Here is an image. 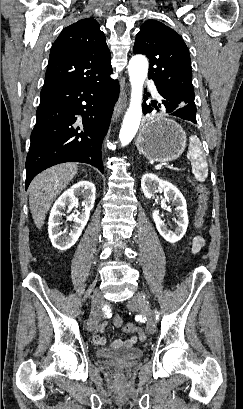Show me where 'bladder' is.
<instances>
[{
	"mask_svg": "<svg viewBox=\"0 0 243 409\" xmlns=\"http://www.w3.org/2000/svg\"><path fill=\"white\" fill-rule=\"evenodd\" d=\"M143 355V350L138 347L134 348H100L96 350V356L101 359L114 358L123 361L135 360Z\"/></svg>",
	"mask_w": 243,
	"mask_h": 409,
	"instance_id": "bladder-1",
	"label": "bladder"
}]
</instances>
